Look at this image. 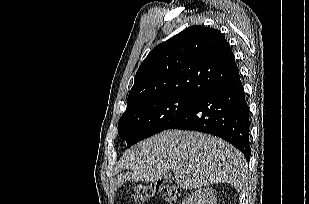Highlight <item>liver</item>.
Returning a JSON list of instances; mask_svg holds the SVG:
<instances>
[{
    "label": "liver",
    "mask_w": 309,
    "mask_h": 204,
    "mask_svg": "<svg viewBox=\"0 0 309 204\" xmlns=\"http://www.w3.org/2000/svg\"><path fill=\"white\" fill-rule=\"evenodd\" d=\"M115 188L126 181L157 182L169 171L175 173L178 187L196 189L229 183L241 190L247 173L243 154L226 141L194 131L167 130L152 136L125 152Z\"/></svg>",
    "instance_id": "1"
}]
</instances>
